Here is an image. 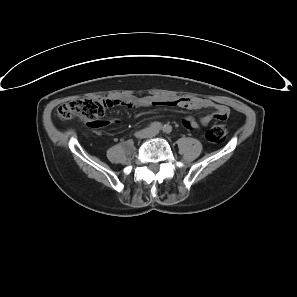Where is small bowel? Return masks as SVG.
Instances as JSON below:
<instances>
[{"instance_id": "small-bowel-1", "label": "small bowel", "mask_w": 297, "mask_h": 297, "mask_svg": "<svg viewBox=\"0 0 297 297\" xmlns=\"http://www.w3.org/2000/svg\"><path fill=\"white\" fill-rule=\"evenodd\" d=\"M110 106H125L128 108L148 107V106H168L179 107L186 110H199L205 108H213L214 111L201 118L202 125H208L212 120H225L230 114L228 106L217 104L209 99L198 97L192 98H167L160 99L155 97H126L115 98L108 100ZM185 127L189 129H197L199 124L192 118L188 117L183 121ZM87 128H94L95 130H106L108 122L106 120L97 121L96 119H87L85 121Z\"/></svg>"}]
</instances>
